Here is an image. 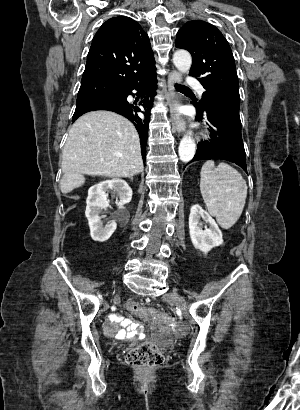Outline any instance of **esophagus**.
Wrapping results in <instances>:
<instances>
[{"label": "esophagus", "mask_w": 300, "mask_h": 410, "mask_svg": "<svg viewBox=\"0 0 300 410\" xmlns=\"http://www.w3.org/2000/svg\"><path fill=\"white\" fill-rule=\"evenodd\" d=\"M181 81V75L177 71H173L169 74L168 77V90L169 98L168 102L172 105L177 100V94L174 89V85ZM173 130L179 134H182L185 128V122L182 117L178 114H174L172 119Z\"/></svg>", "instance_id": "esophagus-1"}]
</instances>
